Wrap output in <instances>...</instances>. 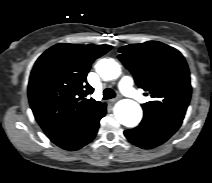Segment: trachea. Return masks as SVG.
I'll return each mask as SVG.
<instances>
[{
    "instance_id": "trachea-1",
    "label": "trachea",
    "mask_w": 212,
    "mask_h": 183,
    "mask_svg": "<svg viewBox=\"0 0 212 183\" xmlns=\"http://www.w3.org/2000/svg\"><path fill=\"white\" fill-rule=\"evenodd\" d=\"M116 96V93L114 92V90L110 89V88H106L103 91V99L107 100V99H112Z\"/></svg>"
}]
</instances>
